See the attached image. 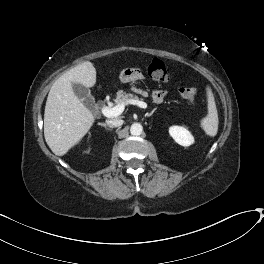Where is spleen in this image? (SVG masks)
<instances>
[{"label":"spleen","instance_id":"spleen-1","mask_svg":"<svg viewBox=\"0 0 264 264\" xmlns=\"http://www.w3.org/2000/svg\"><path fill=\"white\" fill-rule=\"evenodd\" d=\"M207 96V115L201 120V127L205 133L214 137L218 131V113L216 109L215 99L210 87H206Z\"/></svg>","mask_w":264,"mask_h":264}]
</instances>
